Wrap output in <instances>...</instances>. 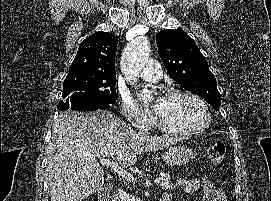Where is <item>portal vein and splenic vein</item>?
I'll list each match as a JSON object with an SVG mask.
<instances>
[{
  "label": "portal vein and splenic vein",
  "instance_id": "obj_1",
  "mask_svg": "<svg viewBox=\"0 0 271 201\" xmlns=\"http://www.w3.org/2000/svg\"><path fill=\"white\" fill-rule=\"evenodd\" d=\"M99 162L102 165H106L108 167H110L111 169H113L115 172H117L119 175H121L122 177H124L126 180H130L132 182H135V178L132 176V174L128 173L127 171L123 170L118 162L116 161H112L108 158H99ZM154 182L156 184L160 183V179H155Z\"/></svg>",
  "mask_w": 271,
  "mask_h": 201
}]
</instances>
